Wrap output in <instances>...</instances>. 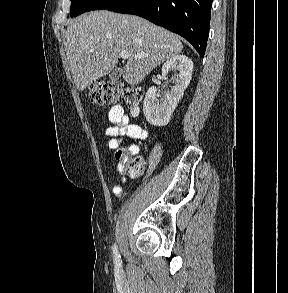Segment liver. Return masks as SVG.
<instances>
[{
    "mask_svg": "<svg viewBox=\"0 0 288 293\" xmlns=\"http://www.w3.org/2000/svg\"><path fill=\"white\" fill-rule=\"evenodd\" d=\"M66 49L76 88L83 91L109 74L121 51L130 58L121 74L130 85L139 84L154 68L183 49L179 38L134 15L94 11L70 23ZM146 54L145 58H135Z\"/></svg>",
    "mask_w": 288,
    "mask_h": 293,
    "instance_id": "liver-1",
    "label": "liver"
}]
</instances>
